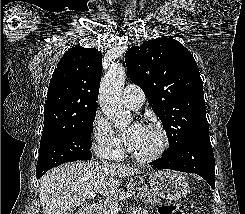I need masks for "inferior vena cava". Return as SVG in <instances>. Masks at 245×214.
Returning a JSON list of instances; mask_svg holds the SVG:
<instances>
[{
  "label": "inferior vena cava",
  "mask_w": 245,
  "mask_h": 214,
  "mask_svg": "<svg viewBox=\"0 0 245 214\" xmlns=\"http://www.w3.org/2000/svg\"><path fill=\"white\" fill-rule=\"evenodd\" d=\"M104 164H108L106 161L103 162Z\"/></svg>",
  "instance_id": "602c4592"
}]
</instances>
